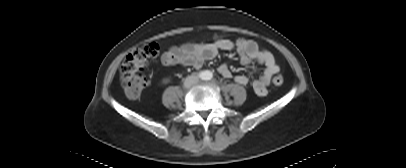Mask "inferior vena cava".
<instances>
[{
  "mask_svg": "<svg viewBox=\"0 0 406 168\" xmlns=\"http://www.w3.org/2000/svg\"><path fill=\"white\" fill-rule=\"evenodd\" d=\"M198 78L196 76H190L186 79L185 84L186 85H192L194 82H196Z\"/></svg>",
  "mask_w": 406,
  "mask_h": 168,
  "instance_id": "602c4592",
  "label": "inferior vena cava"
}]
</instances>
